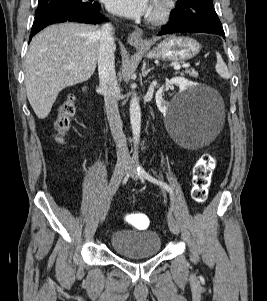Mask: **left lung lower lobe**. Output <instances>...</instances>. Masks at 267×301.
<instances>
[{"mask_svg":"<svg viewBox=\"0 0 267 301\" xmlns=\"http://www.w3.org/2000/svg\"><path fill=\"white\" fill-rule=\"evenodd\" d=\"M210 33L217 34L225 38L224 31H217L211 27L201 23H171L162 26L158 35L173 34V33Z\"/></svg>","mask_w":267,"mask_h":301,"instance_id":"1","label":"left lung lower lobe"}]
</instances>
